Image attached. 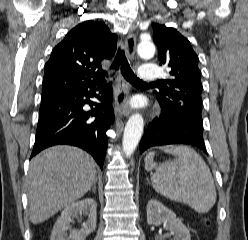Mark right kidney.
<instances>
[{
    "label": "right kidney",
    "mask_w": 248,
    "mask_h": 240,
    "mask_svg": "<svg viewBox=\"0 0 248 240\" xmlns=\"http://www.w3.org/2000/svg\"><path fill=\"white\" fill-rule=\"evenodd\" d=\"M96 209L97 203L93 198H86L67 206L57 219L50 240H85L96 228ZM78 215H84L87 219L83 223L82 229L71 230L70 223ZM68 230H70L69 236Z\"/></svg>",
    "instance_id": "obj_1"
}]
</instances>
